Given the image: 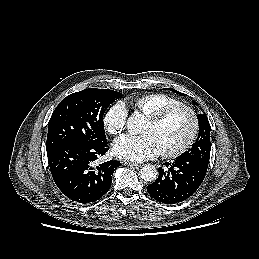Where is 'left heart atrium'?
<instances>
[{"instance_id": "left-heart-atrium-1", "label": "left heart atrium", "mask_w": 259, "mask_h": 259, "mask_svg": "<svg viewBox=\"0 0 259 259\" xmlns=\"http://www.w3.org/2000/svg\"><path fill=\"white\" fill-rule=\"evenodd\" d=\"M114 155L131 162H142L158 155V148L150 135H125L117 139L112 147Z\"/></svg>"}]
</instances>
